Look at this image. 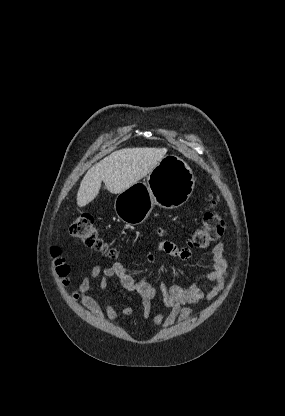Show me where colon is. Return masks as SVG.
Returning <instances> with one entry per match:
<instances>
[{
	"label": "colon",
	"mask_w": 285,
	"mask_h": 416,
	"mask_svg": "<svg viewBox=\"0 0 285 416\" xmlns=\"http://www.w3.org/2000/svg\"><path fill=\"white\" fill-rule=\"evenodd\" d=\"M210 209L204 214L202 227L196 229L189 240V247L193 249L207 248L212 242L218 240L224 233L225 223L219 215L216 207L217 203L209 199ZM70 234L83 243L85 246L100 251L110 258H115L117 253L115 249L109 247L100 237L95 219L91 214H82L70 226ZM56 271L60 277L67 276L69 267L63 259L58 258L59 250H52Z\"/></svg>",
	"instance_id": "obj_1"
}]
</instances>
